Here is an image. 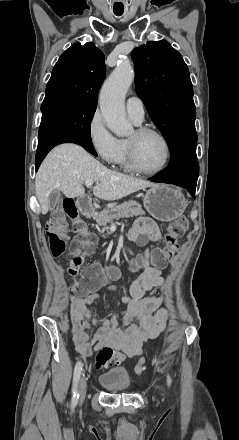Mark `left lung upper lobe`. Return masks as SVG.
Here are the masks:
<instances>
[{"mask_svg":"<svg viewBox=\"0 0 239 440\" xmlns=\"http://www.w3.org/2000/svg\"><path fill=\"white\" fill-rule=\"evenodd\" d=\"M131 56L137 94L170 149L182 139L197 136L192 83L180 53L161 40L147 42Z\"/></svg>","mask_w":239,"mask_h":440,"instance_id":"left-lung-upper-lobe-1","label":"left lung upper lobe"}]
</instances>
